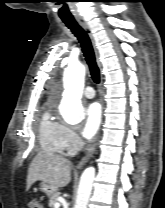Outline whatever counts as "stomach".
<instances>
[{"label":"stomach","instance_id":"obj_1","mask_svg":"<svg viewBox=\"0 0 165 208\" xmlns=\"http://www.w3.org/2000/svg\"><path fill=\"white\" fill-rule=\"evenodd\" d=\"M40 190L43 193H45L48 197H51L57 191L55 187L45 182H42L40 184Z\"/></svg>","mask_w":165,"mask_h":208}]
</instances>
